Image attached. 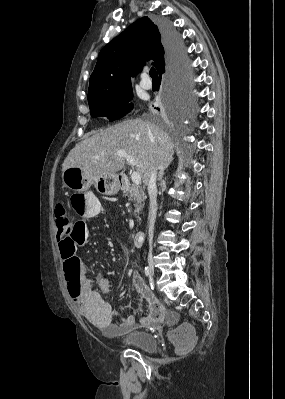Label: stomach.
I'll return each mask as SVG.
<instances>
[{"label":"stomach","instance_id":"stomach-1","mask_svg":"<svg viewBox=\"0 0 285 399\" xmlns=\"http://www.w3.org/2000/svg\"><path fill=\"white\" fill-rule=\"evenodd\" d=\"M62 181L65 187L76 192H85L94 185L99 193L105 195H116L121 187L117 175L91 177L79 167H70L64 170Z\"/></svg>","mask_w":285,"mask_h":399}]
</instances>
